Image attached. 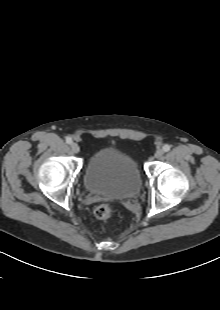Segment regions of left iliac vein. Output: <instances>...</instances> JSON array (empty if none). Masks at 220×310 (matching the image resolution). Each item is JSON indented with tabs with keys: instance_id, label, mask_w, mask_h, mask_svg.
<instances>
[{
	"instance_id": "4c4485c4",
	"label": "left iliac vein",
	"mask_w": 220,
	"mask_h": 310,
	"mask_svg": "<svg viewBox=\"0 0 220 310\" xmlns=\"http://www.w3.org/2000/svg\"><path fill=\"white\" fill-rule=\"evenodd\" d=\"M163 154H164V151H163L162 149H158V150H156V152H155V157H156L157 159H160V158L163 156Z\"/></svg>"
}]
</instances>
